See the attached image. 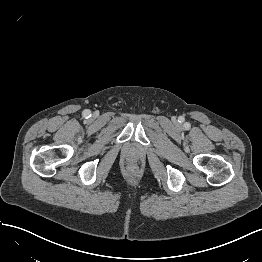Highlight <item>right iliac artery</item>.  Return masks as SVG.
Returning a JSON list of instances; mask_svg holds the SVG:
<instances>
[{
    "label": "right iliac artery",
    "mask_w": 262,
    "mask_h": 262,
    "mask_svg": "<svg viewBox=\"0 0 262 262\" xmlns=\"http://www.w3.org/2000/svg\"><path fill=\"white\" fill-rule=\"evenodd\" d=\"M90 116H91L90 110L86 109V110L83 111V117L89 118Z\"/></svg>",
    "instance_id": "obj_1"
}]
</instances>
